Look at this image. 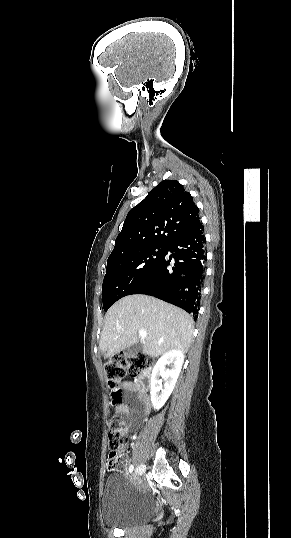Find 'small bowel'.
<instances>
[{"mask_svg":"<svg viewBox=\"0 0 291 538\" xmlns=\"http://www.w3.org/2000/svg\"><path fill=\"white\" fill-rule=\"evenodd\" d=\"M140 388H142L140 381H125L123 383L125 394L115 407V413L128 419L131 427H138L142 417L150 410L149 398L144 391H140ZM129 393H133L134 396L129 395ZM119 460L120 463L127 465L128 456L122 453Z\"/></svg>","mask_w":291,"mask_h":538,"instance_id":"1","label":"small bowel"}]
</instances>
